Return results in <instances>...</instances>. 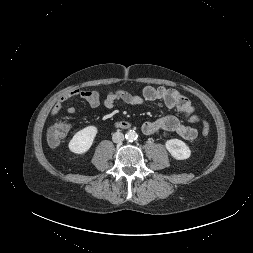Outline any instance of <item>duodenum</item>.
Listing matches in <instances>:
<instances>
[{"label":"duodenum","instance_id":"obj_1","mask_svg":"<svg viewBox=\"0 0 253 253\" xmlns=\"http://www.w3.org/2000/svg\"><path fill=\"white\" fill-rule=\"evenodd\" d=\"M116 125L119 128H129L130 127V123L127 121H119V122H117Z\"/></svg>","mask_w":253,"mask_h":253}]
</instances>
